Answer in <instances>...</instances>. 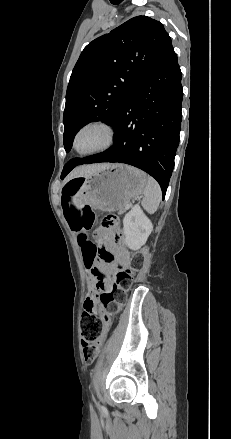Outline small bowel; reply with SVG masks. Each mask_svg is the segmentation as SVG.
I'll list each match as a JSON object with an SVG mask.
<instances>
[{
  "mask_svg": "<svg viewBox=\"0 0 231 439\" xmlns=\"http://www.w3.org/2000/svg\"><path fill=\"white\" fill-rule=\"evenodd\" d=\"M98 233L100 235H105L107 238L111 237V233L106 229H99ZM75 234L77 236L78 244L81 248L83 259L85 257V253L87 249H94L95 244L90 240L88 231L86 229H78L75 228ZM109 251L104 248V246L99 247V253L102 261H100L97 265L94 264L93 268L89 269V275L87 278L89 293L84 301V309H95L99 305V292L104 290L108 284L104 281H99L95 275V271H100L106 274H112L114 271V267L110 264L107 259L103 256L108 254L112 256V254L117 258L119 262H123L126 256V253L121 247H114L111 244H108ZM94 269V270H93ZM102 340H99L95 343V346L98 348L101 346Z\"/></svg>",
  "mask_w": 231,
  "mask_h": 439,
  "instance_id": "1",
  "label": "small bowel"
}]
</instances>
